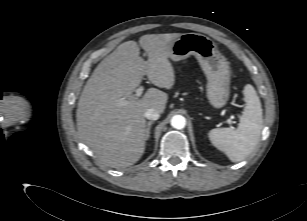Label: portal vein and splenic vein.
<instances>
[{"label": "portal vein and splenic vein", "mask_w": 307, "mask_h": 221, "mask_svg": "<svg viewBox=\"0 0 307 221\" xmlns=\"http://www.w3.org/2000/svg\"><path fill=\"white\" fill-rule=\"evenodd\" d=\"M143 90H144L143 86L138 87V88L136 89V94H135V96H136V97H140V96L142 95V93H143ZM119 104H120V105H127V104H129V101L124 100V99H120V100H119ZM227 122L230 123V124L232 123L231 119H228Z\"/></svg>", "instance_id": "18ae733b"}]
</instances>
